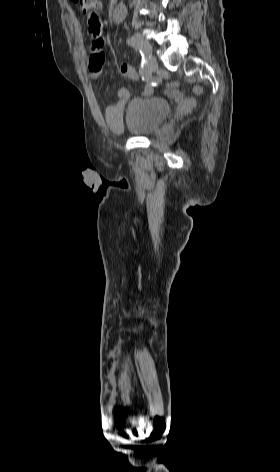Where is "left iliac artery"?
<instances>
[{
  "mask_svg": "<svg viewBox=\"0 0 280 472\" xmlns=\"http://www.w3.org/2000/svg\"><path fill=\"white\" fill-rule=\"evenodd\" d=\"M128 45H131L139 50L142 60L146 57L148 53V47L137 37H130L127 40Z\"/></svg>",
  "mask_w": 280,
  "mask_h": 472,
  "instance_id": "1",
  "label": "left iliac artery"
}]
</instances>
